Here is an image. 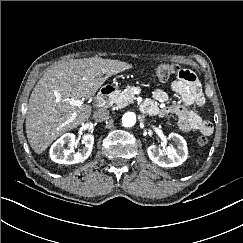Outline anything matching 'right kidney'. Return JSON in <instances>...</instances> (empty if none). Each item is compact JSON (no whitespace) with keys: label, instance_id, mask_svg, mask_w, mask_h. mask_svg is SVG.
I'll use <instances>...</instances> for the list:
<instances>
[{"label":"right kidney","instance_id":"1","mask_svg":"<svg viewBox=\"0 0 243 243\" xmlns=\"http://www.w3.org/2000/svg\"><path fill=\"white\" fill-rule=\"evenodd\" d=\"M82 143L84 144L82 150L75 153V135L73 133L63 134L50 148L51 160L59 164H76L85 161L92 152L94 136L84 135ZM65 144L68 145L66 148Z\"/></svg>","mask_w":243,"mask_h":243}]
</instances>
